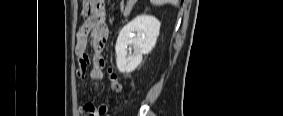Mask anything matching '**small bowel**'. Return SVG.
I'll return each mask as SVG.
<instances>
[{
    "label": "small bowel",
    "mask_w": 283,
    "mask_h": 116,
    "mask_svg": "<svg viewBox=\"0 0 283 116\" xmlns=\"http://www.w3.org/2000/svg\"><path fill=\"white\" fill-rule=\"evenodd\" d=\"M103 0H85L83 2V22L76 33L75 54L78 59L77 76L84 79L87 74L93 81L103 78L105 60L102 56L108 38ZM90 48V54L87 52ZM82 111L89 116H108L109 105L95 106L86 102Z\"/></svg>",
    "instance_id": "small-bowel-1"
}]
</instances>
